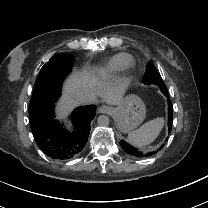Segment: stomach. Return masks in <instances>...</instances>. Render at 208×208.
<instances>
[{
  "mask_svg": "<svg viewBox=\"0 0 208 208\" xmlns=\"http://www.w3.org/2000/svg\"><path fill=\"white\" fill-rule=\"evenodd\" d=\"M143 102L136 96H128L122 100L117 109L112 110L119 129L129 132L138 126L145 118Z\"/></svg>",
  "mask_w": 208,
  "mask_h": 208,
  "instance_id": "1",
  "label": "stomach"
}]
</instances>
